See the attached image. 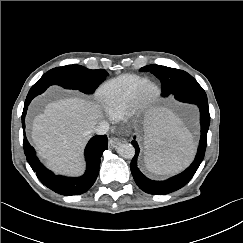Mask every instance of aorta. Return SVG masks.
<instances>
[{
    "label": "aorta",
    "mask_w": 243,
    "mask_h": 243,
    "mask_svg": "<svg viewBox=\"0 0 243 243\" xmlns=\"http://www.w3.org/2000/svg\"><path fill=\"white\" fill-rule=\"evenodd\" d=\"M117 153L125 159H132L135 155V148L130 143H122L118 146Z\"/></svg>",
    "instance_id": "1"
}]
</instances>
